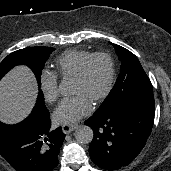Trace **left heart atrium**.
Returning <instances> with one entry per match:
<instances>
[{"label":"left heart atrium","instance_id":"39dd6f15","mask_svg":"<svg viewBox=\"0 0 171 171\" xmlns=\"http://www.w3.org/2000/svg\"><path fill=\"white\" fill-rule=\"evenodd\" d=\"M91 111L90 101L83 95L63 99L53 113V120L58 124H73Z\"/></svg>","mask_w":171,"mask_h":171}]
</instances>
